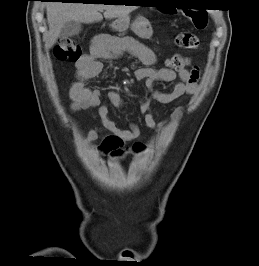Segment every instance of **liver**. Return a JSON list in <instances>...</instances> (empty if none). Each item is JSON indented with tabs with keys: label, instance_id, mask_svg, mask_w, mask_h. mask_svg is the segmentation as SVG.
Wrapping results in <instances>:
<instances>
[{
	"label": "liver",
	"instance_id": "obj_1",
	"mask_svg": "<svg viewBox=\"0 0 259 266\" xmlns=\"http://www.w3.org/2000/svg\"><path fill=\"white\" fill-rule=\"evenodd\" d=\"M135 8V6L124 5L50 2L46 6L49 32L45 46L49 49L56 43L67 22L76 21L89 24L101 21L103 10H105L104 17L106 19L126 17Z\"/></svg>",
	"mask_w": 259,
	"mask_h": 266
}]
</instances>
